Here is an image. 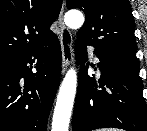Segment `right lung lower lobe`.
<instances>
[{
  "label": "right lung lower lobe",
  "mask_w": 147,
  "mask_h": 131,
  "mask_svg": "<svg viewBox=\"0 0 147 131\" xmlns=\"http://www.w3.org/2000/svg\"><path fill=\"white\" fill-rule=\"evenodd\" d=\"M60 72L61 47L57 37L0 62V130L46 131Z\"/></svg>",
  "instance_id": "1"
}]
</instances>
